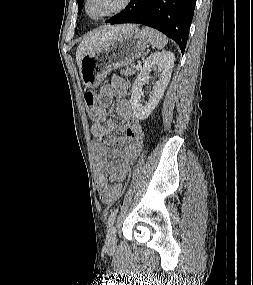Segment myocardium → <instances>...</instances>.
Wrapping results in <instances>:
<instances>
[{"label":"myocardium","mask_w":253,"mask_h":285,"mask_svg":"<svg viewBox=\"0 0 253 285\" xmlns=\"http://www.w3.org/2000/svg\"><path fill=\"white\" fill-rule=\"evenodd\" d=\"M132 1L133 0H123L122 4L117 9L107 12L105 14L99 15V16H92L88 10V5H89L90 0H85L84 1V12L88 16V18H90L91 20H95V21L103 20L105 18L115 16L125 11L132 4Z\"/></svg>","instance_id":"obj_1"}]
</instances>
